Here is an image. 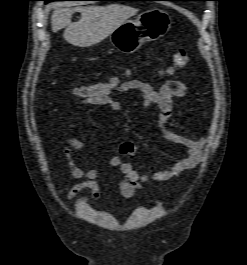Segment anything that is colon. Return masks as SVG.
Segmentation results:
<instances>
[{"label":"colon","instance_id":"obj_1","mask_svg":"<svg viewBox=\"0 0 247 265\" xmlns=\"http://www.w3.org/2000/svg\"><path fill=\"white\" fill-rule=\"evenodd\" d=\"M173 63L179 68L186 67L190 63L187 51L183 48L177 49L173 55ZM120 84L121 80L118 77H112L106 81L76 87L72 90V94L85 104L107 106ZM135 150L136 148L131 142H124L120 146V154L124 156L133 155Z\"/></svg>","mask_w":247,"mask_h":265}]
</instances>
